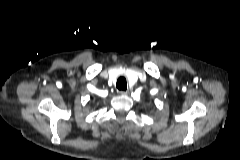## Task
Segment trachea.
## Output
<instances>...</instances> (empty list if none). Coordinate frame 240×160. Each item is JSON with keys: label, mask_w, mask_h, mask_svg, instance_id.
<instances>
[{"label": "trachea", "mask_w": 240, "mask_h": 160, "mask_svg": "<svg viewBox=\"0 0 240 160\" xmlns=\"http://www.w3.org/2000/svg\"><path fill=\"white\" fill-rule=\"evenodd\" d=\"M116 86L120 91H126L127 89L126 78L125 77L118 78Z\"/></svg>", "instance_id": "3493384b"}]
</instances>
